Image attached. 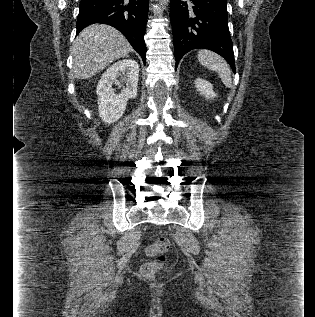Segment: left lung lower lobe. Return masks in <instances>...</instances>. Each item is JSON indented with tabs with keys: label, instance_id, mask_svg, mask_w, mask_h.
<instances>
[{
	"label": "left lung lower lobe",
	"instance_id": "0a47b994",
	"mask_svg": "<svg viewBox=\"0 0 315 317\" xmlns=\"http://www.w3.org/2000/svg\"><path fill=\"white\" fill-rule=\"evenodd\" d=\"M176 67L190 50H212L227 60L235 73L233 44L226 0H170Z\"/></svg>",
	"mask_w": 315,
	"mask_h": 317
}]
</instances>
